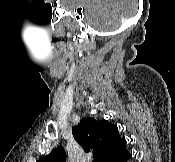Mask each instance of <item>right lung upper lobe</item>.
I'll use <instances>...</instances> for the list:
<instances>
[{
	"instance_id": "1",
	"label": "right lung upper lobe",
	"mask_w": 175,
	"mask_h": 162,
	"mask_svg": "<svg viewBox=\"0 0 175 162\" xmlns=\"http://www.w3.org/2000/svg\"><path fill=\"white\" fill-rule=\"evenodd\" d=\"M75 140L86 152H94L93 162H111L126 149V141L119 136L116 125L107 120L84 118L72 127ZM66 153L62 146L44 156L39 162H64Z\"/></svg>"
}]
</instances>
